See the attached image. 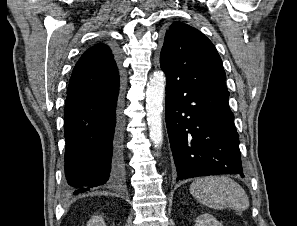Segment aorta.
<instances>
[{
  "instance_id": "obj_1",
  "label": "aorta",
  "mask_w": 297,
  "mask_h": 226,
  "mask_svg": "<svg viewBox=\"0 0 297 226\" xmlns=\"http://www.w3.org/2000/svg\"><path fill=\"white\" fill-rule=\"evenodd\" d=\"M165 75L156 71L150 78L146 89V111L149 126V137L156 148H160L163 141L162 112L165 92Z\"/></svg>"
}]
</instances>
